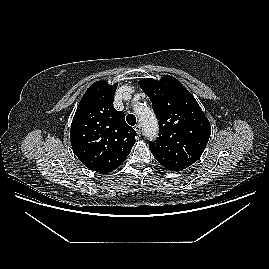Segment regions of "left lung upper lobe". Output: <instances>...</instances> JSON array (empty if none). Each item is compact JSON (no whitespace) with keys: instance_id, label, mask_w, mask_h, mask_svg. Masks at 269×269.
Wrapping results in <instances>:
<instances>
[{"instance_id":"left-lung-upper-lobe-1","label":"left lung upper lobe","mask_w":269,"mask_h":269,"mask_svg":"<svg viewBox=\"0 0 269 269\" xmlns=\"http://www.w3.org/2000/svg\"><path fill=\"white\" fill-rule=\"evenodd\" d=\"M142 90L152 102L159 121V138L149 144L156 160L171 171H180L202 155L211 133L209 120L194 96L174 77L145 78Z\"/></svg>"}]
</instances>
